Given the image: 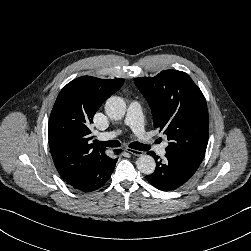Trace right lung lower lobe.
<instances>
[{
  "instance_id": "right-lung-lower-lobe-1",
  "label": "right lung lower lobe",
  "mask_w": 251,
  "mask_h": 251,
  "mask_svg": "<svg viewBox=\"0 0 251 251\" xmlns=\"http://www.w3.org/2000/svg\"><path fill=\"white\" fill-rule=\"evenodd\" d=\"M121 150H117V154ZM117 159H111L108 156L96 160L86 166L82 174L70 185L82 192H92L101 188L110 178Z\"/></svg>"
}]
</instances>
